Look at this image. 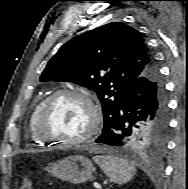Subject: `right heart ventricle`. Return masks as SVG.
Masks as SVG:
<instances>
[{
	"mask_svg": "<svg viewBox=\"0 0 188 189\" xmlns=\"http://www.w3.org/2000/svg\"><path fill=\"white\" fill-rule=\"evenodd\" d=\"M45 99L40 100L32 109L31 114L29 116V122H28V129H29V135H30V139L33 143L37 144V145H43L45 143L41 142L35 134L34 131V124H35V119L36 116L38 114V111L42 105V103L44 102Z\"/></svg>",
	"mask_w": 188,
	"mask_h": 189,
	"instance_id": "right-heart-ventricle-1",
	"label": "right heart ventricle"
}]
</instances>
